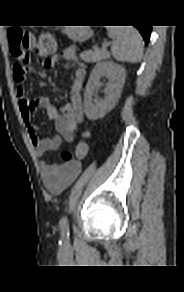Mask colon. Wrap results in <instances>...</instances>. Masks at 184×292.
I'll use <instances>...</instances> for the list:
<instances>
[{"mask_svg": "<svg viewBox=\"0 0 184 292\" xmlns=\"http://www.w3.org/2000/svg\"><path fill=\"white\" fill-rule=\"evenodd\" d=\"M8 38L11 47L12 56L17 60L21 68L26 67L29 61L28 49L33 44V37L21 28L12 27L8 31ZM36 50L41 56H50L57 50V44L51 34H42L36 45ZM88 152V144L81 141L77 144L73 152L65 151L61 154V159L68 163L71 161L83 159Z\"/></svg>", "mask_w": 184, "mask_h": 292, "instance_id": "colon-1", "label": "colon"}]
</instances>
